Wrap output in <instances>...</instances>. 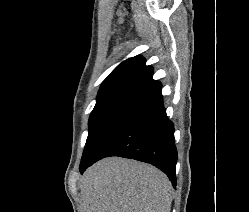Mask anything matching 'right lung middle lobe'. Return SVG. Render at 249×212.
Returning a JSON list of instances; mask_svg holds the SVG:
<instances>
[{"label":"right lung middle lobe","mask_w":249,"mask_h":212,"mask_svg":"<svg viewBox=\"0 0 249 212\" xmlns=\"http://www.w3.org/2000/svg\"><path fill=\"white\" fill-rule=\"evenodd\" d=\"M137 97L133 94L116 93L97 98L96 105L89 118V133L80 165L90 156L109 125Z\"/></svg>","instance_id":"dd1d6c3e"}]
</instances>
